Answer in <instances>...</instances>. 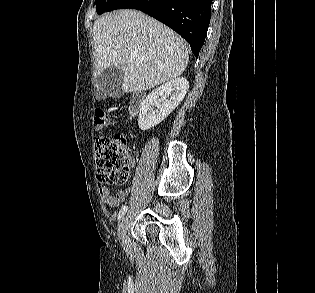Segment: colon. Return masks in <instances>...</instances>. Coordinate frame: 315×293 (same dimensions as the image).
Masks as SVG:
<instances>
[{"label": "colon", "instance_id": "obj_1", "mask_svg": "<svg viewBox=\"0 0 315 293\" xmlns=\"http://www.w3.org/2000/svg\"><path fill=\"white\" fill-rule=\"evenodd\" d=\"M110 116L104 110H97L94 125L102 129L110 123ZM97 177L104 185H122L130 173V155L127 139L122 135L99 136L95 141Z\"/></svg>", "mask_w": 315, "mask_h": 293}]
</instances>
